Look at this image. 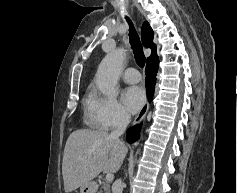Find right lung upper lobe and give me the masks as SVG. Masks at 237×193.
Masks as SVG:
<instances>
[{"label": "right lung upper lobe", "mask_w": 237, "mask_h": 193, "mask_svg": "<svg viewBox=\"0 0 237 193\" xmlns=\"http://www.w3.org/2000/svg\"><path fill=\"white\" fill-rule=\"evenodd\" d=\"M142 42L145 47H149L152 50L151 56L147 61L157 58L156 45L153 43V31L148 22H144L142 26Z\"/></svg>", "instance_id": "cb5924a9"}]
</instances>
